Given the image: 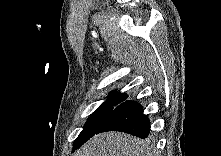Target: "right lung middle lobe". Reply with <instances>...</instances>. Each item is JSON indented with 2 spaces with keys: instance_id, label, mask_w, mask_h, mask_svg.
Segmentation results:
<instances>
[{
  "instance_id": "obj_1",
  "label": "right lung middle lobe",
  "mask_w": 221,
  "mask_h": 156,
  "mask_svg": "<svg viewBox=\"0 0 221 156\" xmlns=\"http://www.w3.org/2000/svg\"><path fill=\"white\" fill-rule=\"evenodd\" d=\"M120 103H122L120 99H111L108 102H104L85 123L83 130L74 141L73 150L79 148L95 135L110 113L115 109L116 105Z\"/></svg>"
}]
</instances>
